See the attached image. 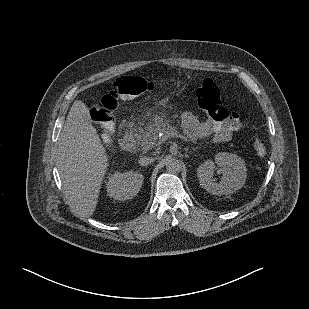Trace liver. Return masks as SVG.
<instances>
[{"mask_svg":"<svg viewBox=\"0 0 309 309\" xmlns=\"http://www.w3.org/2000/svg\"><path fill=\"white\" fill-rule=\"evenodd\" d=\"M107 166L108 157L89 108L76 100L60 133L58 167L68 198L86 215L91 216L96 209Z\"/></svg>","mask_w":309,"mask_h":309,"instance_id":"liver-1","label":"liver"}]
</instances>
